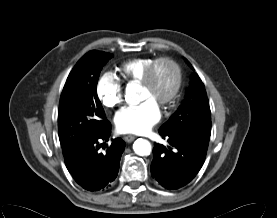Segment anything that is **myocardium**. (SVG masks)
Instances as JSON below:
<instances>
[{"instance_id":"f54148a6","label":"myocardium","mask_w":277,"mask_h":218,"mask_svg":"<svg viewBox=\"0 0 277 218\" xmlns=\"http://www.w3.org/2000/svg\"><path fill=\"white\" fill-rule=\"evenodd\" d=\"M160 63L167 64L173 71V80L170 88L165 92L164 95L158 97L157 101L161 105L169 104L173 101L180 92L182 86V69L180 64L171 56H161L151 62L148 66L145 76L142 79V83L145 88H152L155 84L156 70Z\"/></svg>"}]
</instances>
